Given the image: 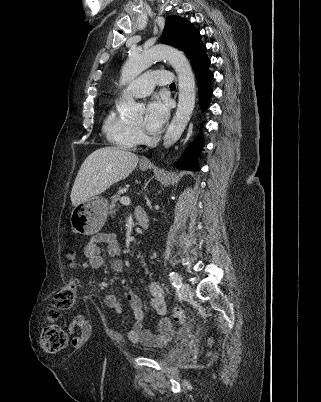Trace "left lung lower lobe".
I'll list each match as a JSON object with an SVG mask.
<instances>
[{
  "mask_svg": "<svg viewBox=\"0 0 321 402\" xmlns=\"http://www.w3.org/2000/svg\"><path fill=\"white\" fill-rule=\"evenodd\" d=\"M190 61L195 72L198 91L199 103L204 111L207 108L209 97L212 95L211 80L213 74L209 70L210 59L206 55V46L202 43L195 48L190 56ZM203 135L199 134L193 143L185 150L182 158L176 163L179 169L199 171L197 162V153L202 149Z\"/></svg>",
  "mask_w": 321,
  "mask_h": 402,
  "instance_id": "obj_1",
  "label": "left lung lower lobe"
}]
</instances>
